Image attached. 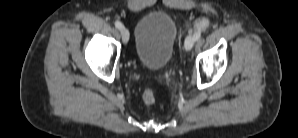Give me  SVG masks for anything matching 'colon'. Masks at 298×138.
Here are the masks:
<instances>
[{
  "label": "colon",
  "instance_id": "5ec220e1",
  "mask_svg": "<svg viewBox=\"0 0 298 138\" xmlns=\"http://www.w3.org/2000/svg\"><path fill=\"white\" fill-rule=\"evenodd\" d=\"M143 100L145 103L150 104L154 101V96L152 92L150 91H145L143 94Z\"/></svg>",
  "mask_w": 298,
  "mask_h": 138
}]
</instances>
